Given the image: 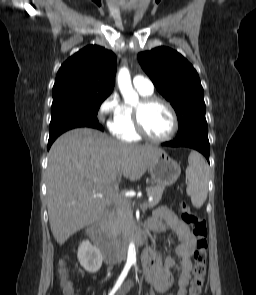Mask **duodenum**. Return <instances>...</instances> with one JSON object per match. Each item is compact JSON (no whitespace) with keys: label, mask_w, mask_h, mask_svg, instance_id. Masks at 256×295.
Masks as SVG:
<instances>
[{"label":"duodenum","mask_w":256,"mask_h":295,"mask_svg":"<svg viewBox=\"0 0 256 295\" xmlns=\"http://www.w3.org/2000/svg\"><path fill=\"white\" fill-rule=\"evenodd\" d=\"M107 216L99 217L88 229V235L93 243L100 249L104 261L108 264L123 259L128 251V243L136 245L144 243L148 238V229L138 225L132 229L128 240L121 244H114L106 236Z\"/></svg>","instance_id":"1"}]
</instances>
